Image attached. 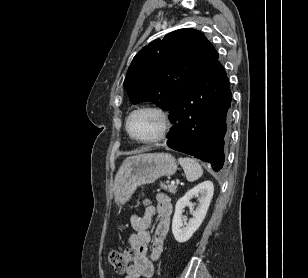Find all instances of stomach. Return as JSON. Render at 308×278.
<instances>
[{"label":"stomach","instance_id":"obj_1","mask_svg":"<svg viewBox=\"0 0 308 278\" xmlns=\"http://www.w3.org/2000/svg\"><path fill=\"white\" fill-rule=\"evenodd\" d=\"M176 170V160L168 153H143L126 158L115 175V202L126 203L137 187L154 183L162 176L173 175Z\"/></svg>","mask_w":308,"mask_h":278}]
</instances>
